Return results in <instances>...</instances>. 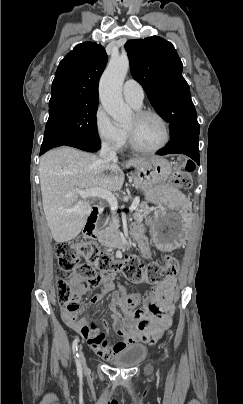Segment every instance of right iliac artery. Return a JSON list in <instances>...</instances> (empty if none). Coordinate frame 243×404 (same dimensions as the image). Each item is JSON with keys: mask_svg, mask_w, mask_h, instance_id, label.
Returning a JSON list of instances; mask_svg holds the SVG:
<instances>
[{"mask_svg": "<svg viewBox=\"0 0 243 404\" xmlns=\"http://www.w3.org/2000/svg\"><path fill=\"white\" fill-rule=\"evenodd\" d=\"M79 342V337H76L73 341V346H72V350H73V354H74V358H75V362H76V366H77V373L78 375L82 374V367H81V362L79 360V355L77 353V344Z\"/></svg>", "mask_w": 243, "mask_h": 404, "instance_id": "right-iliac-artery-1", "label": "right iliac artery"}]
</instances>
